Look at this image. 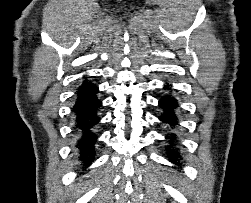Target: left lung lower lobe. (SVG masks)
Returning <instances> with one entry per match:
<instances>
[{"instance_id": "obj_1", "label": "left lung lower lobe", "mask_w": 251, "mask_h": 203, "mask_svg": "<svg viewBox=\"0 0 251 203\" xmlns=\"http://www.w3.org/2000/svg\"><path fill=\"white\" fill-rule=\"evenodd\" d=\"M164 88L169 91L165 96L159 100V107L163 110L162 115L159 117L160 121L168 125V128H175L178 123L177 109L178 100L172 95V88L170 85H165ZM169 139V146L167 147V154L171 157H179V152L174 149L177 145L176 134L169 132L166 136ZM173 161V160H171Z\"/></svg>"}]
</instances>
